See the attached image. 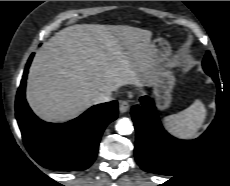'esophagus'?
Segmentation results:
<instances>
[{
	"label": "esophagus",
	"mask_w": 230,
	"mask_h": 186,
	"mask_svg": "<svg viewBox=\"0 0 230 186\" xmlns=\"http://www.w3.org/2000/svg\"><path fill=\"white\" fill-rule=\"evenodd\" d=\"M129 108H130V105H129L128 101H126V100L120 101L119 110L121 113L127 112L129 110Z\"/></svg>",
	"instance_id": "esophagus-1"
}]
</instances>
